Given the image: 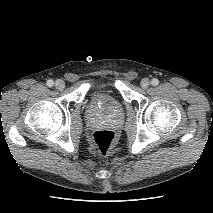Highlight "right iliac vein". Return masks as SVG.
I'll return each instance as SVG.
<instances>
[{
	"mask_svg": "<svg viewBox=\"0 0 213 213\" xmlns=\"http://www.w3.org/2000/svg\"><path fill=\"white\" fill-rule=\"evenodd\" d=\"M55 87L58 89V90H63L65 88V82L61 79H58L56 80L55 82Z\"/></svg>",
	"mask_w": 213,
	"mask_h": 213,
	"instance_id": "obj_1",
	"label": "right iliac vein"
}]
</instances>
